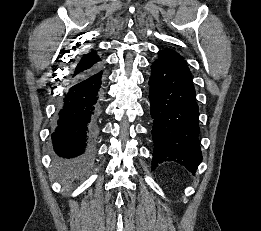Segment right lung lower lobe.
<instances>
[{"mask_svg": "<svg viewBox=\"0 0 261 231\" xmlns=\"http://www.w3.org/2000/svg\"><path fill=\"white\" fill-rule=\"evenodd\" d=\"M103 82L104 72L98 66L72 79L64 91L52 133L54 151L60 164H80L92 155Z\"/></svg>", "mask_w": 261, "mask_h": 231, "instance_id": "98d812e1", "label": "right lung lower lobe"}]
</instances>
